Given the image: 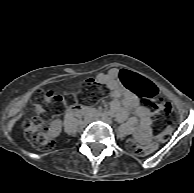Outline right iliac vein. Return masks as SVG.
<instances>
[{
  "label": "right iliac vein",
  "instance_id": "right-iliac-vein-1",
  "mask_svg": "<svg viewBox=\"0 0 194 193\" xmlns=\"http://www.w3.org/2000/svg\"><path fill=\"white\" fill-rule=\"evenodd\" d=\"M86 125H87V122H82V123L80 124L81 127H85Z\"/></svg>",
  "mask_w": 194,
  "mask_h": 193
}]
</instances>
